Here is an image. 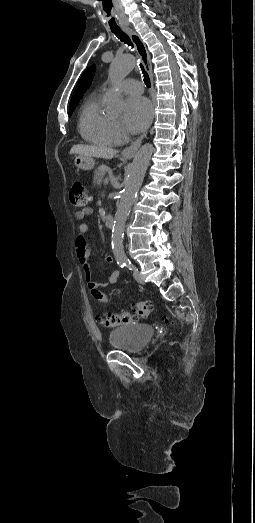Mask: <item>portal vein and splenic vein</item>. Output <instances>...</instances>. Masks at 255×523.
<instances>
[{
	"label": "portal vein and splenic vein",
	"mask_w": 255,
	"mask_h": 523,
	"mask_svg": "<svg viewBox=\"0 0 255 523\" xmlns=\"http://www.w3.org/2000/svg\"><path fill=\"white\" fill-rule=\"evenodd\" d=\"M111 180H112V177H111L110 175H107V176L105 177V179L103 180V183H104L105 185H108V184L110 183Z\"/></svg>",
	"instance_id": "1"
}]
</instances>
